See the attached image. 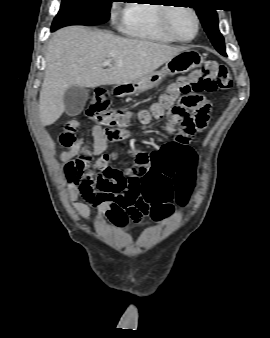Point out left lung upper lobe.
<instances>
[{
	"instance_id": "left-lung-upper-lobe-1",
	"label": "left lung upper lobe",
	"mask_w": 270,
	"mask_h": 338,
	"mask_svg": "<svg viewBox=\"0 0 270 338\" xmlns=\"http://www.w3.org/2000/svg\"><path fill=\"white\" fill-rule=\"evenodd\" d=\"M197 7H195L196 13L204 27V30L208 34L212 44L216 50L226 55L224 38L219 32L218 17L215 9L212 7L213 0H198Z\"/></svg>"
}]
</instances>
